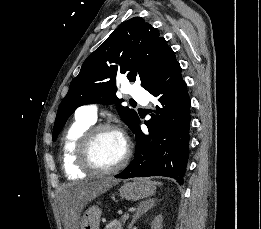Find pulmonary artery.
Instances as JSON below:
<instances>
[{
  "label": "pulmonary artery",
  "mask_w": 261,
  "mask_h": 229,
  "mask_svg": "<svg viewBox=\"0 0 261 229\" xmlns=\"http://www.w3.org/2000/svg\"><path fill=\"white\" fill-rule=\"evenodd\" d=\"M126 93L129 94L128 91ZM130 93L134 96L135 99H144L137 100V105H148V100L145 99H148L149 91L147 89H141V84H132ZM98 109L99 105L97 103L86 104L80 108L82 115L93 122H95L97 119Z\"/></svg>",
  "instance_id": "e3ab8cb5"
}]
</instances>
